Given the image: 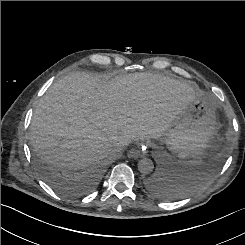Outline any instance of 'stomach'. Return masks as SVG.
I'll list each match as a JSON object with an SVG mask.
<instances>
[{
	"mask_svg": "<svg viewBox=\"0 0 245 245\" xmlns=\"http://www.w3.org/2000/svg\"><path fill=\"white\" fill-rule=\"evenodd\" d=\"M216 109L212 98L197 96L171 123L160 143L180 159H193L205 154L218 137Z\"/></svg>",
	"mask_w": 245,
	"mask_h": 245,
	"instance_id": "1",
	"label": "stomach"
}]
</instances>
